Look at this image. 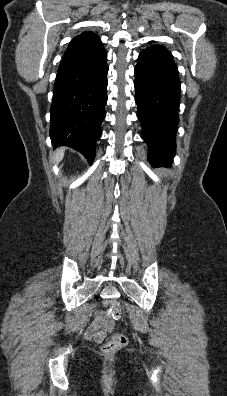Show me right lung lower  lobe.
<instances>
[{
  "instance_id": "obj_1",
  "label": "right lung lower lobe",
  "mask_w": 227,
  "mask_h": 396,
  "mask_svg": "<svg viewBox=\"0 0 227 396\" xmlns=\"http://www.w3.org/2000/svg\"><path fill=\"white\" fill-rule=\"evenodd\" d=\"M107 52L99 42L68 46L59 65L50 109L54 147L69 146L90 163L107 103Z\"/></svg>"
}]
</instances>
